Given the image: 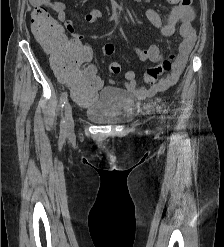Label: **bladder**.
I'll return each mask as SVG.
<instances>
[{
	"mask_svg": "<svg viewBox=\"0 0 224 247\" xmlns=\"http://www.w3.org/2000/svg\"><path fill=\"white\" fill-rule=\"evenodd\" d=\"M133 101L126 92L114 86L102 88L96 99L84 110L86 117L100 125H116L132 117Z\"/></svg>",
	"mask_w": 224,
	"mask_h": 247,
	"instance_id": "bladder-1",
	"label": "bladder"
}]
</instances>
